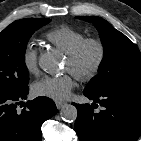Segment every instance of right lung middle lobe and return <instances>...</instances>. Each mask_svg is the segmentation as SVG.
Segmentation results:
<instances>
[{
	"label": "right lung middle lobe",
	"instance_id": "right-lung-middle-lobe-1",
	"mask_svg": "<svg viewBox=\"0 0 141 141\" xmlns=\"http://www.w3.org/2000/svg\"><path fill=\"white\" fill-rule=\"evenodd\" d=\"M50 19L26 18L11 23L0 32V93L10 94L28 88L25 50L32 34Z\"/></svg>",
	"mask_w": 141,
	"mask_h": 141
}]
</instances>
